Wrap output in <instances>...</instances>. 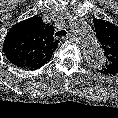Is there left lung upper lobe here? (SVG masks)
<instances>
[{"label": "left lung upper lobe", "instance_id": "obj_1", "mask_svg": "<svg viewBox=\"0 0 118 118\" xmlns=\"http://www.w3.org/2000/svg\"><path fill=\"white\" fill-rule=\"evenodd\" d=\"M93 22L106 57V63L100 71L103 74L114 75L118 73V27L101 19H95Z\"/></svg>", "mask_w": 118, "mask_h": 118}]
</instances>
